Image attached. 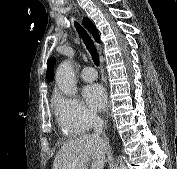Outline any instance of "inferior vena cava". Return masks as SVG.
<instances>
[{
	"instance_id": "1",
	"label": "inferior vena cava",
	"mask_w": 177,
	"mask_h": 169,
	"mask_svg": "<svg viewBox=\"0 0 177 169\" xmlns=\"http://www.w3.org/2000/svg\"><path fill=\"white\" fill-rule=\"evenodd\" d=\"M90 120H91L92 128L94 130V136L100 138V135L103 130V125H104L103 120L96 115L91 116Z\"/></svg>"
}]
</instances>
